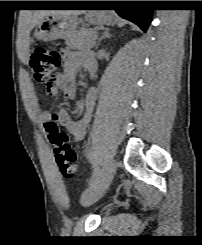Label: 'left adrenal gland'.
Instances as JSON below:
<instances>
[{"label": "left adrenal gland", "instance_id": "1", "mask_svg": "<svg viewBox=\"0 0 202 245\" xmlns=\"http://www.w3.org/2000/svg\"><path fill=\"white\" fill-rule=\"evenodd\" d=\"M112 35H110L109 33V29H106L104 32H103V35L101 36V38L99 39L97 45H96V48L99 47V45L101 44L102 40L106 39V38H110Z\"/></svg>", "mask_w": 202, "mask_h": 245}]
</instances>
